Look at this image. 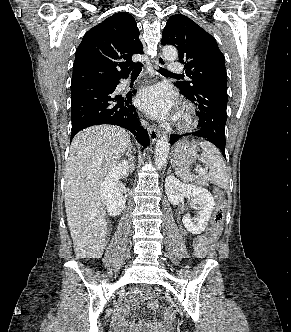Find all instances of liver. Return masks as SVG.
Returning a JSON list of instances; mask_svg holds the SVG:
<instances>
[{"instance_id": "6515ba94", "label": "liver", "mask_w": 291, "mask_h": 332, "mask_svg": "<svg viewBox=\"0 0 291 332\" xmlns=\"http://www.w3.org/2000/svg\"><path fill=\"white\" fill-rule=\"evenodd\" d=\"M130 145L112 125L86 128L73 139L65 169V209L77 258H100L107 232L101 184ZM127 171L132 170L131 161Z\"/></svg>"}]
</instances>
